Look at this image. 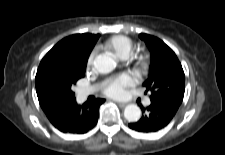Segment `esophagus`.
Segmentation results:
<instances>
[{
  "label": "esophagus",
  "instance_id": "34e87169",
  "mask_svg": "<svg viewBox=\"0 0 225 155\" xmlns=\"http://www.w3.org/2000/svg\"><path fill=\"white\" fill-rule=\"evenodd\" d=\"M117 104L120 106V107H125L127 105V103L125 102H119L117 101Z\"/></svg>",
  "mask_w": 225,
  "mask_h": 155
}]
</instances>
